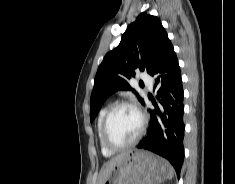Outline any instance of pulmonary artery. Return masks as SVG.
Instances as JSON below:
<instances>
[{
  "mask_svg": "<svg viewBox=\"0 0 235 184\" xmlns=\"http://www.w3.org/2000/svg\"><path fill=\"white\" fill-rule=\"evenodd\" d=\"M143 78H144L147 86L151 87L152 86V81H153L152 78L149 75H146V74H144Z\"/></svg>",
  "mask_w": 235,
  "mask_h": 184,
  "instance_id": "e3ab8cb5",
  "label": "pulmonary artery"
}]
</instances>
